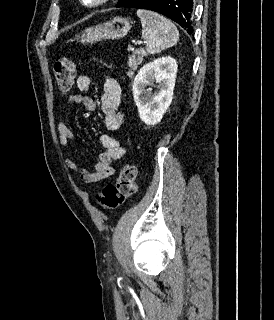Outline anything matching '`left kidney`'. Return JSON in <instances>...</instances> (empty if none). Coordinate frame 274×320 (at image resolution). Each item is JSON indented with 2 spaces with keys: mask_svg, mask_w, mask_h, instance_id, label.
I'll return each mask as SVG.
<instances>
[{
  "mask_svg": "<svg viewBox=\"0 0 274 320\" xmlns=\"http://www.w3.org/2000/svg\"><path fill=\"white\" fill-rule=\"evenodd\" d=\"M177 68L176 60L167 56L157 58L139 70L132 92L139 116L147 126L159 124L168 110L173 98ZM153 82L158 84L159 92L156 94L147 90V86H152Z\"/></svg>",
  "mask_w": 274,
  "mask_h": 320,
  "instance_id": "5707ae66",
  "label": "left kidney"
}]
</instances>
